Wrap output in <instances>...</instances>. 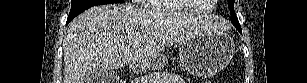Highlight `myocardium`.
<instances>
[{"label": "myocardium", "instance_id": "f54148a6", "mask_svg": "<svg viewBox=\"0 0 307 83\" xmlns=\"http://www.w3.org/2000/svg\"><path fill=\"white\" fill-rule=\"evenodd\" d=\"M178 2L181 3L182 6L185 7L187 10H189L190 12H194V13L206 14V13L211 12L212 10V6L208 9L197 8L194 4H191L192 3L191 0H179Z\"/></svg>", "mask_w": 307, "mask_h": 83}]
</instances>
